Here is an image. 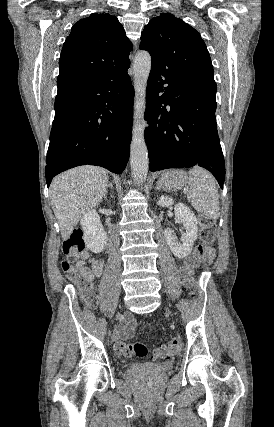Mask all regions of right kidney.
Returning a JSON list of instances; mask_svg holds the SVG:
<instances>
[{
	"mask_svg": "<svg viewBox=\"0 0 274 427\" xmlns=\"http://www.w3.org/2000/svg\"><path fill=\"white\" fill-rule=\"evenodd\" d=\"M81 225L83 229V239L87 249L99 253L103 251L107 243L106 231L102 227L100 217L95 210H90L87 214L81 217Z\"/></svg>",
	"mask_w": 274,
	"mask_h": 427,
	"instance_id": "1",
	"label": "right kidney"
}]
</instances>
